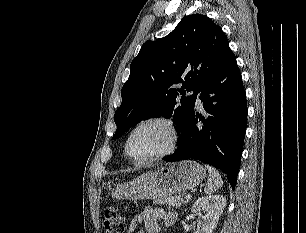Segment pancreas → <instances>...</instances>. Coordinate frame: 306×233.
<instances>
[{
  "instance_id": "1",
  "label": "pancreas",
  "mask_w": 306,
  "mask_h": 233,
  "mask_svg": "<svg viewBox=\"0 0 306 233\" xmlns=\"http://www.w3.org/2000/svg\"><path fill=\"white\" fill-rule=\"evenodd\" d=\"M187 202L188 200L185 199V196L183 194L154 200L155 204H167L169 208H180L183 204Z\"/></svg>"
}]
</instances>
